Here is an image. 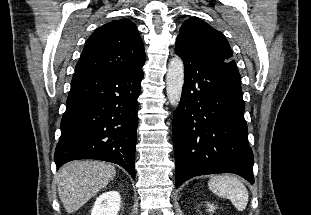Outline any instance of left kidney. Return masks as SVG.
I'll list each match as a JSON object with an SVG mask.
<instances>
[{"label":"left kidney","mask_w":311,"mask_h":215,"mask_svg":"<svg viewBox=\"0 0 311 215\" xmlns=\"http://www.w3.org/2000/svg\"><path fill=\"white\" fill-rule=\"evenodd\" d=\"M208 207H209V211H213V209H214L213 205H208Z\"/></svg>","instance_id":"1"}]
</instances>
